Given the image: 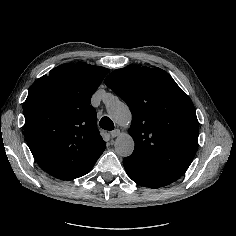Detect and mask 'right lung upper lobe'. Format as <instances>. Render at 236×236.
I'll use <instances>...</instances> for the list:
<instances>
[{"mask_svg":"<svg viewBox=\"0 0 236 236\" xmlns=\"http://www.w3.org/2000/svg\"><path fill=\"white\" fill-rule=\"evenodd\" d=\"M109 72L88 64H63L36 80L24 103V133L30 151L48 174L81 176L103 153L91 96Z\"/></svg>","mask_w":236,"mask_h":236,"instance_id":"right-lung-upper-lobe-1","label":"right lung upper lobe"}]
</instances>
